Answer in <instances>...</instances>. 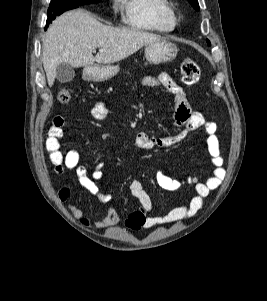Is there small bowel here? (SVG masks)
<instances>
[{"mask_svg":"<svg viewBox=\"0 0 267 301\" xmlns=\"http://www.w3.org/2000/svg\"><path fill=\"white\" fill-rule=\"evenodd\" d=\"M141 84L145 87H164L172 94L175 102L174 124L179 131L170 137L158 138L146 132L137 135L133 146L141 150H152L155 148L171 147L182 141L190 132L203 128L206 135V145L211 157L213 167L212 174L205 180L199 181L196 177L175 178L160 170L156 173V181L160 188L167 191H175L184 186L194 187L195 195L186 204L173 208L168 213L161 216L147 215L153 209V202L145 191L140 180H133L130 184L131 194L138 200L139 208L131 213L125 225L131 230L141 228H151L160 224L174 223L187 219L195 215L203 205L204 199L209 193L217 189L225 177L223 167L224 160L220 152V144L216 135L217 126L214 122L208 121L202 113L192 110L187 99L185 90L176 83L168 74L161 73L156 77L146 76ZM92 115L97 120H103L108 115V110L103 102H96L92 108ZM64 121L61 116H56L49 129L48 137L45 142L51 162L55 165V172L62 175L66 169L74 170L79 184L91 194L95 195L101 202L111 201V194L100 190L98 182L103 177L102 163H99L95 170L90 174L87 168L80 164L79 153L74 150L63 152L60 149V139L63 137ZM71 188L62 187L58 191V198L61 202L70 199ZM69 210L73 217L86 227L90 226V221L84 217L83 211L74 204L69 205ZM121 220L119 212L111 208L104 219L98 220L96 225L100 228L114 227Z\"/></svg>","mask_w":267,"mask_h":301,"instance_id":"1","label":"small bowel"}]
</instances>
